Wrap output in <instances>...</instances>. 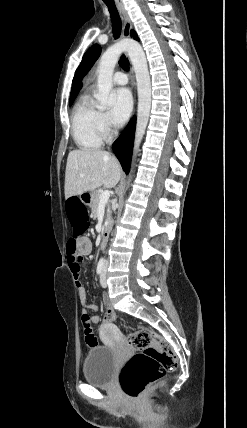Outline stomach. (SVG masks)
I'll list each match as a JSON object with an SVG mask.
<instances>
[{"mask_svg":"<svg viewBox=\"0 0 247 428\" xmlns=\"http://www.w3.org/2000/svg\"><path fill=\"white\" fill-rule=\"evenodd\" d=\"M94 193H95L94 191L85 192V193L81 194V197H82V199H85L86 200L85 202L90 205L93 198H94Z\"/></svg>","mask_w":247,"mask_h":428,"instance_id":"stomach-1","label":"stomach"}]
</instances>
